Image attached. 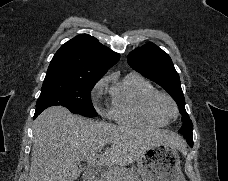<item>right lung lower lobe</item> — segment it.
<instances>
[{"label": "right lung lower lobe", "instance_id": "98d812e1", "mask_svg": "<svg viewBox=\"0 0 228 181\" xmlns=\"http://www.w3.org/2000/svg\"><path fill=\"white\" fill-rule=\"evenodd\" d=\"M38 115H39L38 113H35L34 118H36Z\"/></svg>", "mask_w": 228, "mask_h": 181}]
</instances>
